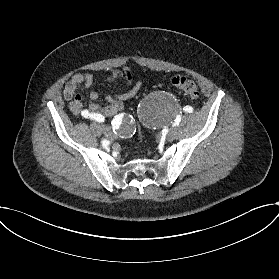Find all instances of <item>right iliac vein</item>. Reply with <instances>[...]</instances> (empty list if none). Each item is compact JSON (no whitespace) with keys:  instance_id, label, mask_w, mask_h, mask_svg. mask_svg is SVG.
<instances>
[{"instance_id":"right-iliac-vein-1","label":"right iliac vein","mask_w":279,"mask_h":279,"mask_svg":"<svg viewBox=\"0 0 279 279\" xmlns=\"http://www.w3.org/2000/svg\"><path fill=\"white\" fill-rule=\"evenodd\" d=\"M101 131H103L104 134H107V135H111L112 134V130L109 126H102L101 127Z\"/></svg>"}]
</instances>
